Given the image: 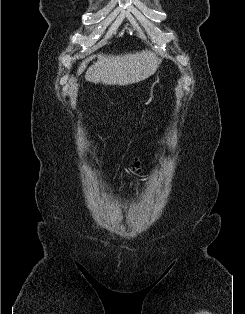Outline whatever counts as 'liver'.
I'll return each mask as SVG.
<instances>
[{"mask_svg": "<svg viewBox=\"0 0 245 314\" xmlns=\"http://www.w3.org/2000/svg\"><path fill=\"white\" fill-rule=\"evenodd\" d=\"M96 56L97 62L87 69L85 79L105 85L125 86L144 80L157 70L161 61L155 53L148 50L122 55L99 53ZM91 59L92 57H89L80 64L78 75L85 70Z\"/></svg>", "mask_w": 245, "mask_h": 314, "instance_id": "6515ba94", "label": "liver"}]
</instances>
